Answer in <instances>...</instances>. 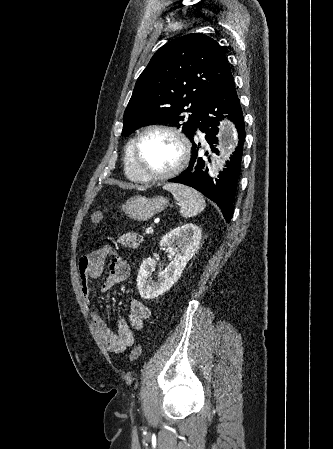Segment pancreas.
I'll list each match as a JSON object with an SVG mask.
<instances>
[{"label":"pancreas","instance_id":"1","mask_svg":"<svg viewBox=\"0 0 333 449\" xmlns=\"http://www.w3.org/2000/svg\"><path fill=\"white\" fill-rule=\"evenodd\" d=\"M118 243H120L124 247H129L135 249L141 243V239L139 235L135 232H127L119 237Z\"/></svg>","mask_w":333,"mask_h":449}]
</instances>
